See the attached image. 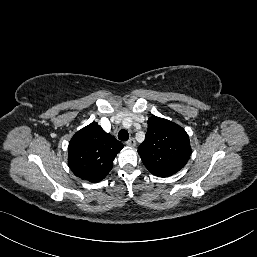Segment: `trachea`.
I'll return each mask as SVG.
<instances>
[{
	"instance_id": "obj_1",
	"label": "trachea",
	"mask_w": 257,
	"mask_h": 257,
	"mask_svg": "<svg viewBox=\"0 0 257 257\" xmlns=\"http://www.w3.org/2000/svg\"><path fill=\"white\" fill-rule=\"evenodd\" d=\"M118 139L121 141H127L129 139V134L126 130H120L118 133Z\"/></svg>"
}]
</instances>
